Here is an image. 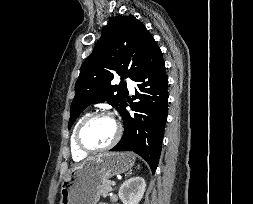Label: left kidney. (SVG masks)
<instances>
[{
    "label": "left kidney",
    "mask_w": 253,
    "mask_h": 204,
    "mask_svg": "<svg viewBox=\"0 0 253 204\" xmlns=\"http://www.w3.org/2000/svg\"><path fill=\"white\" fill-rule=\"evenodd\" d=\"M146 182L142 177H131L119 188L118 195L123 204H138L145 192Z\"/></svg>",
    "instance_id": "1"
}]
</instances>
